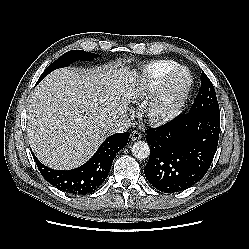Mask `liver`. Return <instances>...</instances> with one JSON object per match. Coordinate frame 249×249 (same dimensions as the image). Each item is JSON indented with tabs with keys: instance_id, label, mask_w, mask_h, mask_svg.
<instances>
[{
	"instance_id": "1",
	"label": "liver",
	"mask_w": 249,
	"mask_h": 249,
	"mask_svg": "<svg viewBox=\"0 0 249 249\" xmlns=\"http://www.w3.org/2000/svg\"><path fill=\"white\" fill-rule=\"evenodd\" d=\"M139 76L113 67L53 71L28 103L27 134L37 158L53 169H73L90 159L141 92Z\"/></svg>"
}]
</instances>
